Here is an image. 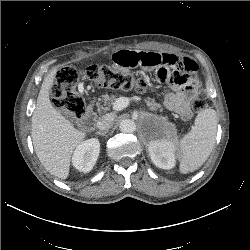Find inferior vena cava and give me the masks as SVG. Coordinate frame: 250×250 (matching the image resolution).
Returning <instances> with one entry per match:
<instances>
[{
	"instance_id": "602c4592",
	"label": "inferior vena cava",
	"mask_w": 250,
	"mask_h": 250,
	"mask_svg": "<svg viewBox=\"0 0 250 250\" xmlns=\"http://www.w3.org/2000/svg\"><path fill=\"white\" fill-rule=\"evenodd\" d=\"M115 119V116L113 114H106L99 118L97 121V128L102 131L108 130Z\"/></svg>"
}]
</instances>
